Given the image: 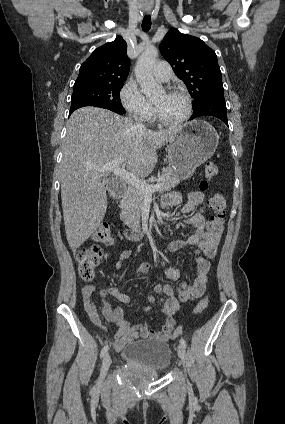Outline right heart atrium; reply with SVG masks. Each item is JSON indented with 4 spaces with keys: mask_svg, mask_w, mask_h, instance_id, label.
<instances>
[{
    "mask_svg": "<svg viewBox=\"0 0 285 424\" xmlns=\"http://www.w3.org/2000/svg\"><path fill=\"white\" fill-rule=\"evenodd\" d=\"M119 97L123 108L133 118L140 121H148L152 118V104L143 95L135 80L129 79L124 83Z\"/></svg>",
    "mask_w": 285,
    "mask_h": 424,
    "instance_id": "obj_1",
    "label": "right heart atrium"
}]
</instances>
